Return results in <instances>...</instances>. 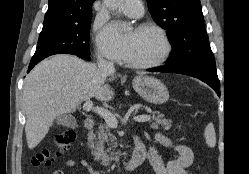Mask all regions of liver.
<instances>
[{
    "label": "liver",
    "instance_id": "obj_1",
    "mask_svg": "<svg viewBox=\"0 0 249 174\" xmlns=\"http://www.w3.org/2000/svg\"><path fill=\"white\" fill-rule=\"evenodd\" d=\"M107 76L95 64L67 54L36 65L26 76L23 89L28 148H35L45 138L58 116L75 112L82 102L93 97L110 101L114 92L105 84Z\"/></svg>",
    "mask_w": 249,
    "mask_h": 174
}]
</instances>
